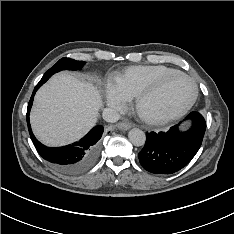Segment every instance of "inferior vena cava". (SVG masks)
<instances>
[{
	"mask_svg": "<svg viewBox=\"0 0 234 234\" xmlns=\"http://www.w3.org/2000/svg\"><path fill=\"white\" fill-rule=\"evenodd\" d=\"M103 119L106 122L114 123L120 119V114L113 108H105L102 113Z\"/></svg>",
	"mask_w": 234,
	"mask_h": 234,
	"instance_id": "inferior-vena-cava-1",
	"label": "inferior vena cava"
}]
</instances>
